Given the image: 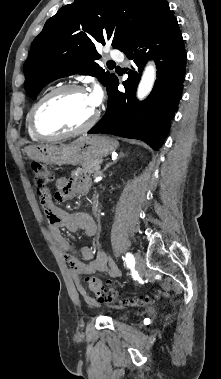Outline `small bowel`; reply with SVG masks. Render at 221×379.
Wrapping results in <instances>:
<instances>
[{"label": "small bowel", "instance_id": "obj_1", "mask_svg": "<svg viewBox=\"0 0 221 379\" xmlns=\"http://www.w3.org/2000/svg\"><path fill=\"white\" fill-rule=\"evenodd\" d=\"M89 186V181L85 178L77 180H69L64 177L58 178L55 198L60 202L71 200L77 195H85L89 190ZM41 204L48 220L50 234L63 251L64 258L70 266L71 276L77 291L88 304H95V301L87 295L81 284L80 276L106 272L110 277L118 278L121 276V272L103 250L93 252L91 248L84 246L80 251L81 256H78L62 233L63 229L68 232L81 231L83 236L93 237L97 232V225L94 219L85 212L74 214L66 212L53 203L50 194L44 200H41Z\"/></svg>", "mask_w": 221, "mask_h": 379}]
</instances>
